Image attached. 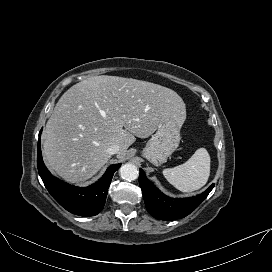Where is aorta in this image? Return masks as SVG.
I'll list each match as a JSON object with an SVG mask.
<instances>
[{"instance_id": "1", "label": "aorta", "mask_w": 272, "mask_h": 272, "mask_svg": "<svg viewBox=\"0 0 272 272\" xmlns=\"http://www.w3.org/2000/svg\"><path fill=\"white\" fill-rule=\"evenodd\" d=\"M122 179L127 181H133L138 178L139 171L136 165L132 163H126L121 166L119 170Z\"/></svg>"}]
</instances>
